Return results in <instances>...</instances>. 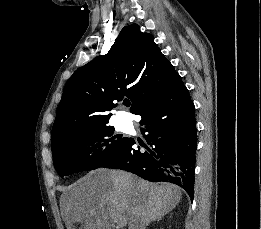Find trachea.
Segmentation results:
<instances>
[{
    "label": "trachea",
    "instance_id": "obj_1",
    "mask_svg": "<svg viewBox=\"0 0 261 229\" xmlns=\"http://www.w3.org/2000/svg\"><path fill=\"white\" fill-rule=\"evenodd\" d=\"M123 103L126 105V107L130 106V100L125 99Z\"/></svg>",
    "mask_w": 261,
    "mask_h": 229
}]
</instances>
